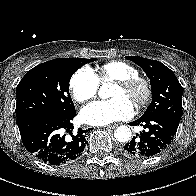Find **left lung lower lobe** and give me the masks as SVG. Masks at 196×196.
<instances>
[{
    "label": "left lung lower lobe",
    "instance_id": "0a47b994",
    "mask_svg": "<svg viewBox=\"0 0 196 196\" xmlns=\"http://www.w3.org/2000/svg\"><path fill=\"white\" fill-rule=\"evenodd\" d=\"M142 126L144 130L123 147V153L131 157L147 158L167 148L173 140L178 123L164 116L140 117L129 123Z\"/></svg>",
    "mask_w": 196,
    "mask_h": 196
}]
</instances>
